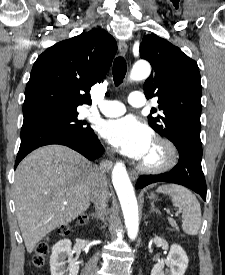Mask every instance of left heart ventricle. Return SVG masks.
Segmentation results:
<instances>
[{
    "label": "left heart ventricle",
    "instance_id": "1",
    "mask_svg": "<svg viewBox=\"0 0 225 275\" xmlns=\"http://www.w3.org/2000/svg\"><path fill=\"white\" fill-rule=\"evenodd\" d=\"M161 158V151L158 146L152 144L149 151L145 155L142 161L148 162V163H156Z\"/></svg>",
    "mask_w": 225,
    "mask_h": 275
}]
</instances>
